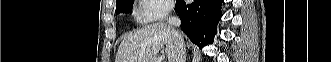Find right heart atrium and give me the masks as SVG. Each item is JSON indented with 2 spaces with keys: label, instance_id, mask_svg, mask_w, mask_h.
<instances>
[{
  "label": "right heart atrium",
  "instance_id": "1",
  "mask_svg": "<svg viewBox=\"0 0 331 62\" xmlns=\"http://www.w3.org/2000/svg\"><path fill=\"white\" fill-rule=\"evenodd\" d=\"M138 17L141 22L149 23L167 16L173 7L171 0H140Z\"/></svg>",
  "mask_w": 331,
  "mask_h": 62
}]
</instances>
